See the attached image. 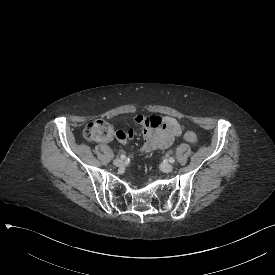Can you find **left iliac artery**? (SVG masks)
I'll return each instance as SVG.
<instances>
[{"label":"left iliac artery","instance_id":"44dca946","mask_svg":"<svg viewBox=\"0 0 275 275\" xmlns=\"http://www.w3.org/2000/svg\"><path fill=\"white\" fill-rule=\"evenodd\" d=\"M169 162H170V163H174V162H175V159L171 157V158H169Z\"/></svg>","mask_w":275,"mask_h":275}]
</instances>
